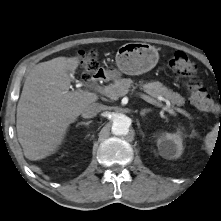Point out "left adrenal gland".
Wrapping results in <instances>:
<instances>
[{"instance_id": "a2214340", "label": "left adrenal gland", "mask_w": 221, "mask_h": 221, "mask_svg": "<svg viewBox=\"0 0 221 221\" xmlns=\"http://www.w3.org/2000/svg\"><path fill=\"white\" fill-rule=\"evenodd\" d=\"M151 111V109H143L140 111V115L141 116H145L146 113H149Z\"/></svg>"}]
</instances>
